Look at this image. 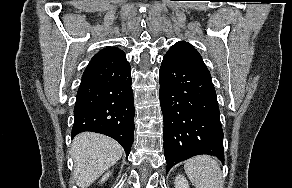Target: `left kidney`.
I'll use <instances>...</instances> for the list:
<instances>
[{"instance_id": "5707ae66", "label": "left kidney", "mask_w": 292, "mask_h": 188, "mask_svg": "<svg viewBox=\"0 0 292 188\" xmlns=\"http://www.w3.org/2000/svg\"><path fill=\"white\" fill-rule=\"evenodd\" d=\"M175 188H190L187 179L183 175L176 177Z\"/></svg>"}]
</instances>
